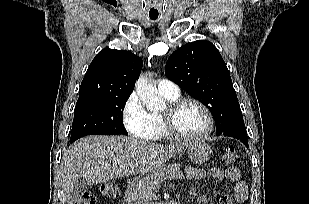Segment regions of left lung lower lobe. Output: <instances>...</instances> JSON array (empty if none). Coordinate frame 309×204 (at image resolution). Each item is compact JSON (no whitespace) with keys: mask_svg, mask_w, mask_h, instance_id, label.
<instances>
[{"mask_svg":"<svg viewBox=\"0 0 309 204\" xmlns=\"http://www.w3.org/2000/svg\"><path fill=\"white\" fill-rule=\"evenodd\" d=\"M217 135L230 136L240 140L248 148V138L245 128V124H240L227 128L221 133H216Z\"/></svg>","mask_w":309,"mask_h":204,"instance_id":"left-lung-lower-lobe-1","label":"left lung lower lobe"}]
</instances>
